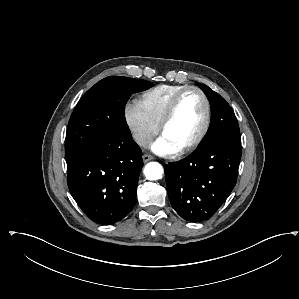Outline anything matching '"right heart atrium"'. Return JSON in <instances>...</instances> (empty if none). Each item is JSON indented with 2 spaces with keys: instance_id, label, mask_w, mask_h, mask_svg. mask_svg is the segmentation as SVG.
<instances>
[{
  "instance_id": "obj_1",
  "label": "right heart atrium",
  "mask_w": 299,
  "mask_h": 299,
  "mask_svg": "<svg viewBox=\"0 0 299 299\" xmlns=\"http://www.w3.org/2000/svg\"><path fill=\"white\" fill-rule=\"evenodd\" d=\"M125 121L133 140L139 146L147 145L158 132V126L148 118L137 102L126 106Z\"/></svg>"
}]
</instances>
